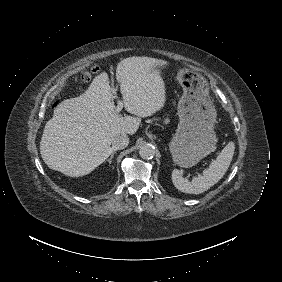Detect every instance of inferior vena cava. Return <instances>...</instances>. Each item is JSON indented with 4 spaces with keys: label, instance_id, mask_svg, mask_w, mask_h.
I'll return each mask as SVG.
<instances>
[{
    "label": "inferior vena cava",
    "instance_id": "inferior-vena-cava-1",
    "mask_svg": "<svg viewBox=\"0 0 282 282\" xmlns=\"http://www.w3.org/2000/svg\"><path fill=\"white\" fill-rule=\"evenodd\" d=\"M128 143L129 138L124 133L117 134L115 137L112 138L113 149H124L127 147Z\"/></svg>",
    "mask_w": 282,
    "mask_h": 282
}]
</instances>
